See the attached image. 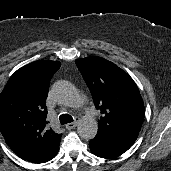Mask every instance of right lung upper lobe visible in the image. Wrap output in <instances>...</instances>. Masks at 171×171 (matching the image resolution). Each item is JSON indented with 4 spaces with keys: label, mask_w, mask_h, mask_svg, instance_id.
Returning a JSON list of instances; mask_svg holds the SVG:
<instances>
[{
    "label": "right lung upper lobe",
    "mask_w": 171,
    "mask_h": 171,
    "mask_svg": "<svg viewBox=\"0 0 171 171\" xmlns=\"http://www.w3.org/2000/svg\"><path fill=\"white\" fill-rule=\"evenodd\" d=\"M59 61L40 60L18 69L0 94V131L22 159L47 162L58 152L61 134L46 127L45 101Z\"/></svg>",
    "instance_id": "right-lung-upper-lobe-1"
}]
</instances>
